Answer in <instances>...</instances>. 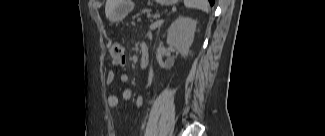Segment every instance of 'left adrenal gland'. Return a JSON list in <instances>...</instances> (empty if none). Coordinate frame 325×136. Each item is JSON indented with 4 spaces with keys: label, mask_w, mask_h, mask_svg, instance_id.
Masks as SVG:
<instances>
[{
    "label": "left adrenal gland",
    "mask_w": 325,
    "mask_h": 136,
    "mask_svg": "<svg viewBox=\"0 0 325 136\" xmlns=\"http://www.w3.org/2000/svg\"><path fill=\"white\" fill-rule=\"evenodd\" d=\"M160 27H161V26H159V28H158V33H159V31H160Z\"/></svg>",
    "instance_id": "left-adrenal-gland-1"
}]
</instances>
